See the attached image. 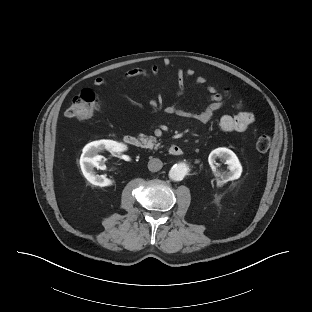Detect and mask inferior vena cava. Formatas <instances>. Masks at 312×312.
<instances>
[{"label":"inferior vena cava","instance_id":"602c4592","mask_svg":"<svg viewBox=\"0 0 312 312\" xmlns=\"http://www.w3.org/2000/svg\"><path fill=\"white\" fill-rule=\"evenodd\" d=\"M163 167V163L158 158H152L148 162V169L151 172H157Z\"/></svg>","mask_w":312,"mask_h":312}]
</instances>
